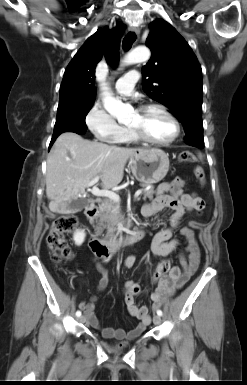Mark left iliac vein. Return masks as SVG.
Masks as SVG:
<instances>
[{"instance_id": "1", "label": "left iliac vein", "mask_w": 247, "mask_h": 385, "mask_svg": "<svg viewBox=\"0 0 247 385\" xmlns=\"http://www.w3.org/2000/svg\"><path fill=\"white\" fill-rule=\"evenodd\" d=\"M161 321H162V319H161V317H160L159 315H155V316L153 317V323H154L155 325L161 324Z\"/></svg>"}]
</instances>
